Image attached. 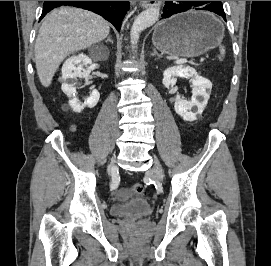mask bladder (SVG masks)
<instances>
[{"instance_id": "obj_1", "label": "bladder", "mask_w": 271, "mask_h": 266, "mask_svg": "<svg viewBox=\"0 0 271 266\" xmlns=\"http://www.w3.org/2000/svg\"><path fill=\"white\" fill-rule=\"evenodd\" d=\"M152 205L146 200H133L130 203L120 205L114 204L112 206V213L128 220H139L151 214Z\"/></svg>"}]
</instances>
